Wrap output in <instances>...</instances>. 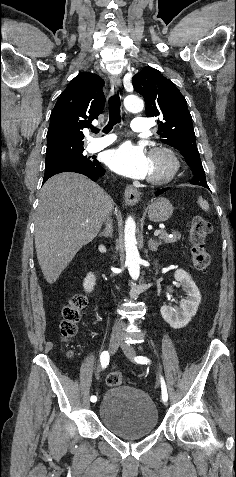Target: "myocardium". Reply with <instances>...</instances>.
Segmentation results:
<instances>
[{
    "label": "myocardium",
    "instance_id": "myocardium-1",
    "mask_svg": "<svg viewBox=\"0 0 236 477\" xmlns=\"http://www.w3.org/2000/svg\"><path fill=\"white\" fill-rule=\"evenodd\" d=\"M158 156L163 157L165 159L167 169L160 175H149L147 180L149 183L154 185H161L171 181L180 169L179 158L172 149L165 146H158L152 148V150L150 151V157L156 158Z\"/></svg>",
    "mask_w": 236,
    "mask_h": 477
}]
</instances>
